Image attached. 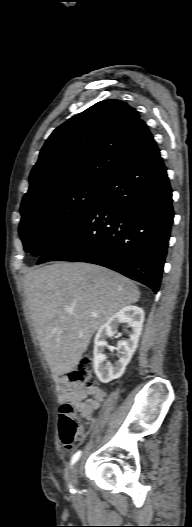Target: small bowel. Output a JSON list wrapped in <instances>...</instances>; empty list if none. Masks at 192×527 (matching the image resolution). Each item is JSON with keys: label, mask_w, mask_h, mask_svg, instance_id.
Here are the masks:
<instances>
[{"label": "small bowel", "mask_w": 192, "mask_h": 527, "mask_svg": "<svg viewBox=\"0 0 192 527\" xmlns=\"http://www.w3.org/2000/svg\"><path fill=\"white\" fill-rule=\"evenodd\" d=\"M58 383L62 390V400L74 404L80 415L87 420L91 419L93 412L101 406L107 394L102 387L84 388L66 376L60 377Z\"/></svg>", "instance_id": "obj_1"}]
</instances>
